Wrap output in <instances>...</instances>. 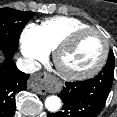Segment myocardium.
I'll return each mask as SVG.
<instances>
[{"label": "myocardium", "mask_w": 117, "mask_h": 117, "mask_svg": "<svg viewBox=\"0 0 117 117\" xmlns=\"http://www.w3.org/2000/svg\"><path fill=\"white\" fill-rule=\"evenodd\" d=\"M86 33H94L99 35L103 40V53L99 59V61L90 69L81 71V72H73L66 70L61 63V59L63 54L75 43V41L83 34ZM109 41L106 35L99 29L94 27L80 28L69 33L55 48L53 59L55 66L60 73L66 79L69 80H84L96 75L105 65L108 55H109Z\"/></svg>", "instance_id": "myocardium-1"}]
</instances>
